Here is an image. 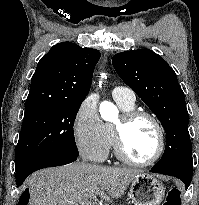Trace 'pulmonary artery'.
<instances>
[{
    "label": "pulmonary artery",
    "mask_w": 199,
    "mask_h": 205,
    "mask_svg": "<svg viewBox=\"0 0 199 205\" xmlns=\"http://www.w3.org/2000/svg\"><path fill=\"white\" fill-rule=\"evenodd\" d=\"M115 100H122L128 103L135 102V94L132 89L124 86H118L113 90Z\"/></svg>",
    "instance_id": "pulmonary-artery-1"
}]
</instances>
